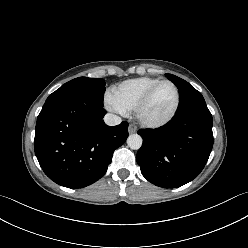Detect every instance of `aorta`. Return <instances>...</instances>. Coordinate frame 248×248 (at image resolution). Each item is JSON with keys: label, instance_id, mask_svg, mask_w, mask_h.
<instances>
[{"label": "aorta", "instance_id": "1", "mask_svg": "<svg viewBox=\"0 0 248 248\" xmlns=\"http://www.w3.org/2000/svg\"><path fill=\"white\" fill-rule=\"evenodd\" d=\"M143 140L140 135L132 134L127 138V145L133 149L138 150L142 146Z\"/></svg>", "mask_w": 248, "mask_h": 248}]
</instances>
